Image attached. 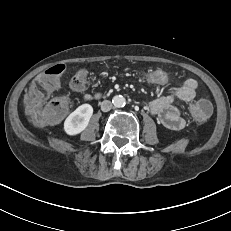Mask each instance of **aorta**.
<instances>
[{
  "mask_svg": "<svg viewBox=\"0 0 231 231\" xmlns=\"http://www.w3.org/2000/svg\"><path fill=\"white\" fill-rule=\"evenodd\" d=\"M112 103L115 107H123L126 104V100L122 95H116L112 99Z\"/></svg>",
  "mask_w": 231,
  "mask_h": 231,
  "instance_id": "aorta-1",
  "label": "aorta"
}]
</instances>
